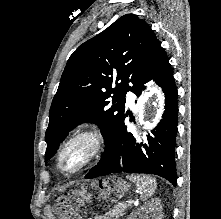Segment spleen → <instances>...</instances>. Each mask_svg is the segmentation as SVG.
<instances>
[{
	"label": "spleen",
	"instance_id": "obj_1",
	"mask_svg": "<svg viewBox=\"0 0 221 219\" xmlns=\"http://www.w3.org/2000/svg\"><path fill=\"white\" fill-rule=\"evenodd\" d=\"M129 179L136 184L142 200H147L154 194L157 185L155 179L149 176H131Z\"/></svg>",
	"mask_w": 221,
	"mask_h": 219
}]
</instances>
